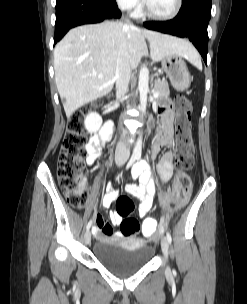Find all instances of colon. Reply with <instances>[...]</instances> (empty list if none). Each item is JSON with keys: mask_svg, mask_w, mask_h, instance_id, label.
Here are the masks:
<instances>
[{"mask_svg": "<svg viewBox=\"0 0 247 304\" xmlns=\"http://www.w3.org/2000/svg\"><path fill=\"white\" fill-rule=\"evenodd\" d=\"M97 107L101 108V104H98ZM175 109V151L179 170L172 190L164 197L181 206L185 203L190 188V178L186 171L194 165L195 149L191 132L189 100L183 95H178L175 98ZM86 115V111H77L70 116L57 166V177L61 190L68 203L79 209L86 205L88 197L84 186L86 174L84 120ZM133 212L134 204L130 198L118 199L116 213L122 218L120 227L124 236L134 237L140 233L141 227L139 222L132 217ZM157 228L158 225L154 219H147L143 225V238H152Z\"/></svg>", "mask_w": 247, "mask_h": 304, "instance_id": "obj_1", "label": "colon"}]
</instances>
